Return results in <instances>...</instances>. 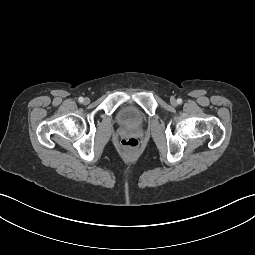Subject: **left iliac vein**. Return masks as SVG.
Returning <instances> with one entry per match:
<instances>
[{
	"label": "left iliac vein",
	"instance_id": "1",
	"mask_svg": "<svg viewBox=\"0 0 255 255\" xmlns=\"http://www.w3.org/2000/svg\"><path fill=\"white\" fill-rule=\"evenodd\" d=\"M170 102H171V104H172L173 106L177 105V101H176V99H174V98H172V99L170 100Z\"/></svg>",
	"mask_w": 255,
	"mask_h": 255
}]
</instances>
